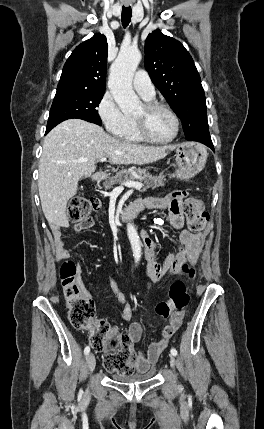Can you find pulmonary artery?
Segmentation results:
<instances>
[{
	"instance_id": "obj_1",
	"label": "pulmonary artery",
	"mask_w": 264,
	"mask_h": 429,
	"mask_svg": "<svg viewBox=\"0 0 264 429\" xmlns=\"http://www.w3.org/2000/svg\"><path fill=\"white\" fill-rule=\"evenodd\" d=\"M133 87L146 100H150L155 96V87L144 70H139L134 75Z\"/></svg>"
}]
</instances>
